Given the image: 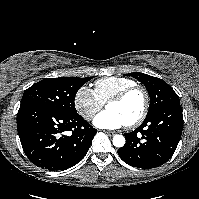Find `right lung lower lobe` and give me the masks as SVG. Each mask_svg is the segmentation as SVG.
I'll list each match as a JSON object with an SVG mask.
<instances>
[{"instance_id": "obj_1", "label": "right lung lower lobe", "mask_w": 199, "mask_h": 199, "mask_svg": "<svg viewBox=\"0 0 199 199\" xmlns=\"http://www.w3.org/2000/svg\"><path fill=\"white\" fill-rule=\"evenodd\" d=\"M17 129L28 159L50 171L76 165L97 133L78 113L65 115L41 106L20 108Z\"/></svg>"}]
</instances>
